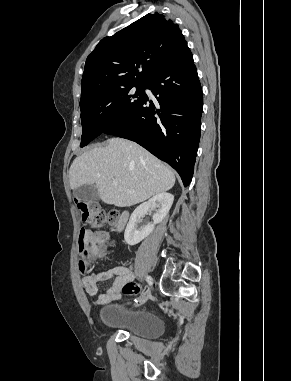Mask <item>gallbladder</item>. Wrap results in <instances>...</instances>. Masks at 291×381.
I'll return each mask as SVG.
<instances>
[{"label":"gallbladder","mask_w":291,"mask_h":381,"mask_svg":"<svg viewBox=\"0 0 291 381\" xmlns=\"http://www.w3.org/2000/svg\"><path fill=\"white\" fill-rule=\"evenodd\" d=\"M75 198L81 201H95L99 199V193L95 185H83L73 191Z\"/></svg>","instance_id":"obj_1"}]
</instances>
